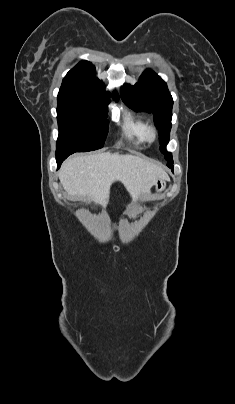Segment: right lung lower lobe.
Listing matches in <instances>:
<instances>
[{"mask_svg": "<svg viewBox=\"0 0 235 404\" xmlns=\"http://www.w3.org/2000/svg\"><path fill=\"white\" fill-rule=\"evenodd\" d=\"M71 154H72V152L56 154V161H57L58 168L60 167L62 162Z\"/></svg>", "mask_w": 235, "mask_h": 404, "instance_id": "right-lung-lower-lobe-1", "label": "right lung lower lobe"}]
</instances>
